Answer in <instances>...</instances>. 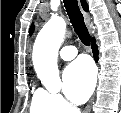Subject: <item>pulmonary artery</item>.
<instances>
[{"mask_svg": "<svg viewBox=\"0 0 121 113\" xmlns=\"http://www.w3.org/2000/svg\"><path fill=\"white\" fill-rule=\"evenodd\" d=\"M59 55L62 60L70 61L76 57L77 49L72 45H67L61 48Z\"/></svg>", "mask_w": 121, "mask_h": 113, "instance_id": "1", "label": "pulmonary artery"}]
</instances>
